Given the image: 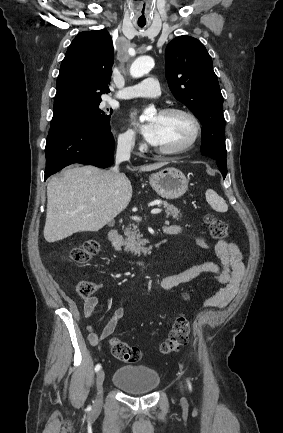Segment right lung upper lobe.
<instances>
[{"instance_id":"1","label":"right lung upper lobe","mask_w":283,"mask_h":433,"mask_svg":"<svg viewBox=\"0 0 283 433\" xmlns=\"http://www.w3.org/2000/svg\"><path fill=\"white\" fill-rule=\"evenodd\" d=\"M114 51L108 31L79 33L69 46L57 78L54 112L101 100L109 93Z\"/></svg>"}]
</instances>
